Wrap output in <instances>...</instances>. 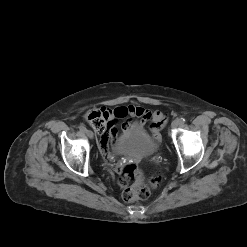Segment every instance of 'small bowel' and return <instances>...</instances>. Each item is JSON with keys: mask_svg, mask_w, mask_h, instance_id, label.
Segmentation results:
<instances>
[{"mask_svg": "<svg viewBox=\"0 0 247 247\" xmlns=\"http://www.w3.org/2000/svg\"><path fill=\"white\" fill-rule=\"evenodd\" d=\"M108 117V129L102 135L101 152L104 158L109 162L117 172H122L123 165L121 163H113L111 156L108 153L107 146L109 140L116 142L118 121L127 117L138 118L135 122H126L122 129L124 132L132 128H142L149 122V130L156 140H160V130L164 127L167 121V116L160 110H149L136 105L120 106L113 110H103ZM121 185L124 183L121 181Z\"/></svg>", "mask_w": 247, "mask_h": 247, "instance_id": "small-bowel-1", "label": "small bowel"}]
</instances>
